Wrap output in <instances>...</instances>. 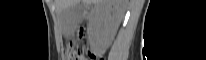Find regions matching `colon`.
I'll return each mask as SVG.
<instances>
[{
	"label": "colon",
	"instance_id": "5ec220e1",
	"mask_svg": "<svg viewBox=\"0 0 206 60\" xmlns=\"http://www.w3.org/2000/svg\"><path fill=\"white\" fill-rule=\"evenodd\" d=\"M80 37H83V32H80ZM67 60H89L94 56L87 54L80 43V39H71L68 41L65 51Z\"/></svg>",
	"mask_w": 206,
	"mask_h": 60
}]
</instances>
